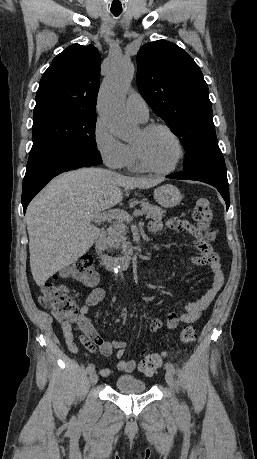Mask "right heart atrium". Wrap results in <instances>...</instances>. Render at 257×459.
Listing matches in <instances>:
<instances>
[{
    "label": "right heart atrium",
    "instance_id": "d8ad5b80",
    "mask_svg": "<svg viewBox=\"0 0 257 459\" xmlns=\"http://www.w3.org/2000/svg\"><path fill=\"white\" fill-rule=\"evenodd\" d=\"M95 148L110 168H123L128 159V146L118 139L102 119H97L93 129Z\"/></svg>",
    "mask_w": 257,
    "mask_h": 459
}]
</instances>
